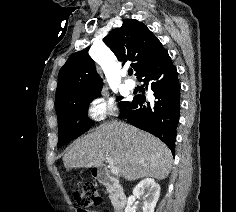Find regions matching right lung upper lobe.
I'll list each match as a JSON object with an SVG mask.
<instances>
[{"instance_id": "right-lung-upper-lobe-1", "label": "right lung upper lobe", "mask_w": 236, "mask_h": 212, "mask_svg": "<svg viewBox=\"0 0 236 212\" xmlns=\"http://www.w3.org/2000/svg\"><path fill=\"white\" fill-rule=\"evenodd\" d=\"M103 42L119 61H132L131 66L137 77L162 46L146 25L134 19L124 20L121 28L110 32ZM88 50L87 48L71 55L60 69L55 98L56 111L78 98L101 92L102 79L96 72Z\"/></svg>"}]
</instances>
